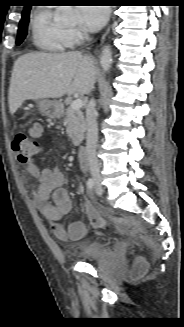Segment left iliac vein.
<instances>
[{
	"instance_id": "obj_1",
	"label": "left iliac vein",
	"mask_w": 184,
	"mask_h": 327,
	"mask_svg": "<svg viewBox=\"0 0 184 327\" xmlns=\"http://www.w3.org/2000/svg\"><path fill=\"white\" fill-rule=\"evenodd\" d=\"M96 193L98 195H102V193H103V189H102L101 185L99 184V182H97Z\"/></svg>"
}]
</instances>
